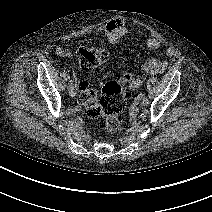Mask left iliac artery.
<instances>
[{
  "mask_svg": "<svg viewBox=\"0 0 212 212\" xmlns=\"http://www.w3.org/2000/svg\"><path fill=\"white\" fill-rule=\"evenodd\" d=\"M143 103L144 106H147L149 104V99L147 97H143Z\"/></svg>",
  "mask_w": 212,
  "mask_h": 212,
  "instance_id": "1",
  "label": "left iliac artery"
}]
</instances>
